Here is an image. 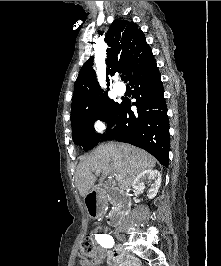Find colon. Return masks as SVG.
<instances>
[{
    "instance_id": "5ec220e1",
    "label": "colon",
    "mask_w": 221,
    "mask_h": 266,
    "mask_svg": "<svg viewBox=\"0 0 221 266\" xmlns=\"http://www.w3.org/2000/svg\"><path fill=\"white\" fill-rule=\"evenodd\" d=\"M96 248L94 245V241L91 235H85L79 246V257L83 261H92L96 257Z\"/></svg>"
}]
</instances>
